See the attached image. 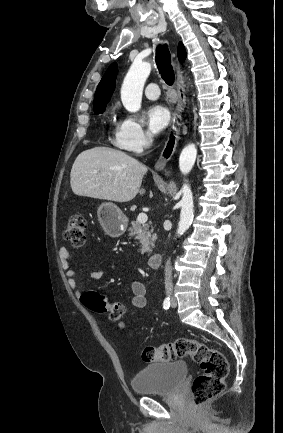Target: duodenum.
<instances>
[{
    "mask_svg": "<svg viewBox=\"0 0 283 433\" xmlns=\"http://www.w3.org/2000/svg\"><path fill=\"white\" fill-rule=\"evenodd\" d=\"M162 262V255L160 253H155L148 259V265L152 269H157L160 267Z\"/></svg>",
    "mask_w": 283,
    "mask_h": 433,
    "instance_id": "1",
    "label": "duodenum"
}]
</instances>
